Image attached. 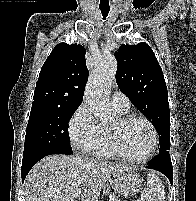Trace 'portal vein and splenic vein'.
<instances>
[{
	"instance_id": "18ae733b",
	"label": "portal vein and splenic vein",
	"mask_w": 196,
	"mask_h": 201,
	"mask_svg": "<svg viewBox=\"0 0 196 201\" xmlns=\"http://www.w3.org/2000/svg\"><path fill=\"white\" fill-rule=\"evenodd\" d=\"M81 194V191H78L74 194V197L77 198Z\"/></svg>"
}]
</instances>
